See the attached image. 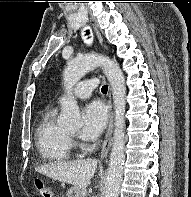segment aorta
Wrapping results in <instances>:
<instances>
[{
  "instance_id": "obj_1",
  "label": "aorta",
  "mask_w": 191,
  "mask_h": 197,
  "mask_svg": "<svg viewBox=\"0 0 191 197\" xmlns=\"http://www.w3.org/2000/svg\"><path fill=\"white\" fill-rule=\"evenodd\" d=\"M101 66L112 89L115 110V128L110 154L104 197H118L125 162V110L126 86L124 75L117 62L109 57L88 54L70 60L63 73L67 98L62 105L59 123L68 128L79 129L82 119L77 101L72 96L73 86L91 69Z\"/></svg>"
}]
</instances>
